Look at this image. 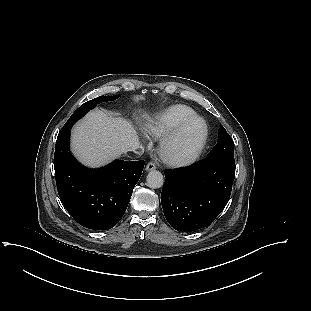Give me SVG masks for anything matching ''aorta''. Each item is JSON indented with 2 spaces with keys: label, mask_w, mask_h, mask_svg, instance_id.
Wrapping results in <instances>:
<instances>
[{
  "label": "aorta",
  "mask_w": 311,
  "mask_h": 311,
  "mask_svg": "<svg viewBox=\"0 0 311 311\" xmlns=\"http://www.w3.org/2000/svg\"><path fill=\"white\" fill-rule=\"evenodd\" d=\"M146 181L148 187L158 189L163 186L164 178L160 171L152 170L148 173Z\"/></svg>",
  "instance_id": "1"
}]
</instances>
